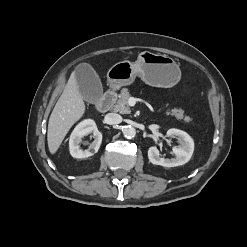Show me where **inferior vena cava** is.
<instances>
[{
    "label": "inferior vena cava",
    "mask_w": 247,
    "mask_h": 247,
    "mask_svg": "<svg viewBox=\"0 0 247 247\" xmlns=\"http://www.w3.org/2000/svg\"><path fill=\"white\" fill-rule=\"evenodd\" d=\"M104 120L107 124L115 125L122 122V116L117 113H108L105 115Z\"/></svg>",
    "instance_id": "602c4592"
}]
</instances>
